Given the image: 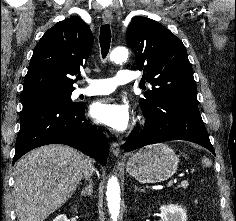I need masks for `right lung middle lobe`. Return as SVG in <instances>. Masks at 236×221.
I'll list each match as a JSON object with an SVG mask.
<instances>
[{"label": "right lung middle lobe", "instance_id": "1", "mask_svg": "<svg viewBox=\"0 0 236 221\" xmlns=\"http://www.w3.org/2000/svg\"><path fill=\"white\" fill-rule=\"evenodd\" d=\"M73 90L64 89H42L21 94L22 105L36 102H60L64 104L77 105L72 102L71 93Z\"/></svg>", "mask_w": 236, "mask_h": 221}]
</instances>
